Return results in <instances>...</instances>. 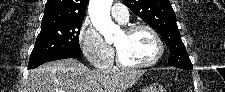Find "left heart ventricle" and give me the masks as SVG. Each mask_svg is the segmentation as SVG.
<instances>
[{"label": "left heart ventricle", "instance_id": "b2bd125f", "mask_svg": "<svg viewBox=\"0 0 225 92\" xmlns=\"http://www.w3.org/2000/svg\"><path fill=\"white\" fill-rule=\"evenodd\" d=\"M114 44L128 63H145L157 52L156 42L146 30H138L130 34L122 32Z\"/></svg>", "mask_w": 225, "mask_h": 92}]
</instances>
